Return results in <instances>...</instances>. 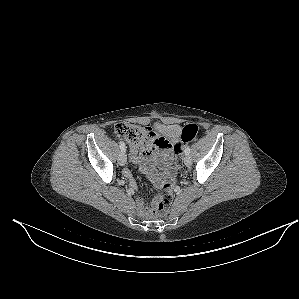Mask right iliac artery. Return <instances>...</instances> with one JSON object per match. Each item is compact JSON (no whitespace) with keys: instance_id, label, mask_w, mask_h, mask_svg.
I'll return each mask as SVG.
<instances>
[{"instance_id":"right-iliac-artery-1","label":"right iliac artery","mask_w":299,"mask_h":299,"mask_svg":"<svg viewBox=\"0 0 299 299\" xmlns=\"http://www.w3.org/2000/svg\"><path fill=\"white\" fill-rule=\"evenodd\" d=\"M120 149H121V151L122 152H125L126 151V147H125V144H124V142L123 141H120Z\"/></svg>"}]
</instances>
